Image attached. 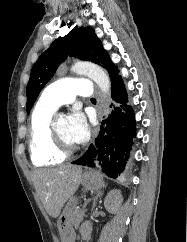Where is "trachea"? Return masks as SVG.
Masks as SVG:
<instances>
[{
	"mask_svg": "<svg viewBox=\"0 0 187 242\" xmlns=\"http://www.w3.org/2000/svg\"><path fill=\"white\" fill-rule=\"evenodd\" d=\"M91 100H95V98H91Z\"/></svg>",
	"mask_w": 187,
	"mask_h": 242,
	"instance_id": "3493384b",
	"label": "trachea"
}]
</instances>
